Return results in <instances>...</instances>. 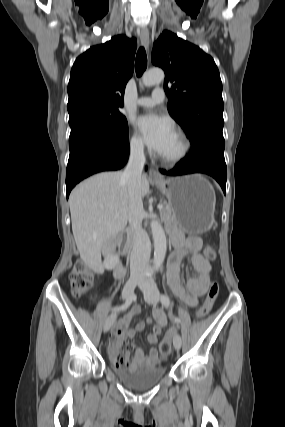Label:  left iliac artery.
I'll use <instances>...</instances> for the list:
<instances>
[{
    "label": "left iliac artery",
    "instance_id": "44dca946",
    "mask_svg": "<svg viewBox=\"0 0 285 427\" xmlns=\"http://www.w3.org/2000/svg\"><path fill=\"white\" fill-rule=\"evenodd\" d=\"M160 299H161L162 305H164L165 307H169L170 306V299H169V297L167 295L161 294ZM174 322L178 324L181 321H180V319L178 317H174Z\"/></svg>",
    "mask_w": 285,
    "mask_h": 427
}]
</instances>
